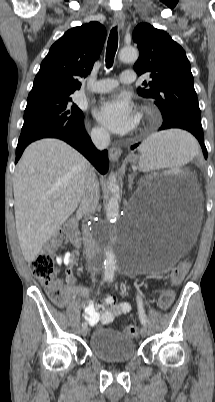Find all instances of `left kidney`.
<instances>
[{
	"instance_id": "obj_1",
	"label": "left kidney",
	"mask_w": 215,
	"mask_h": 402,
	"mask_svg": "<svg viewBox=\"0 0 215 402\" xmlns=\"http://www.w3.org/2000/svg\"><path fill=\"white\" fill-rule=\"evenodd\" d=\"M179 175H182V172H179ZM183 175L190 177L192 175V172L190 170H187L186 172H183Z\"/></svg>"
}]
</instances>
